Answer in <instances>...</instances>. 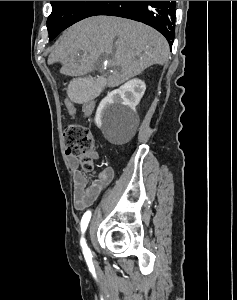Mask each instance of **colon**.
Listing matches in <instances>:
<instances>
[{
	"label": "colon",
	"mask_w": 237,
	"mask_h": 300,
	"mask_svg": "<svg viewBox=\"0 0 237 300\" xmlns=\"http://www.w3.org/2000/svg\"><path fill=\"white\" fill-rule=\"evenodd\" d=\"M65 105L70 114H74L75 109L70 100H65ZM63 138L66 154L80 158L81 168L85 172H92L94 169L92 159L87 152L92 147L91 131L78 124L68 123L63 130Z\"/></svg>",
	"instance_id": "5ec220e1"
}]
</instances>
